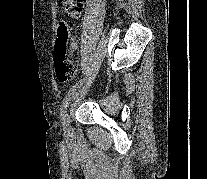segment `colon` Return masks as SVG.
<instances>
[{
  "instance_id": "colon-1",
  "label": "colon",
  "mask_w": 207,
  "mask_h": 179,
  "mask_svg": "<svg viewBox=\"0 0 207 179\" xmlns=\"http://www.w3.org/2000/svg\"><path fill=\"white\" fill-rule=\"evenodd\" d=\"M68 17L76 10L77 0H59ZM55 72L59 81L66 82L76 75L75 61L69 48V29L66 23L58 27L55 44Z\"/></svg>"
}]
</instances>
